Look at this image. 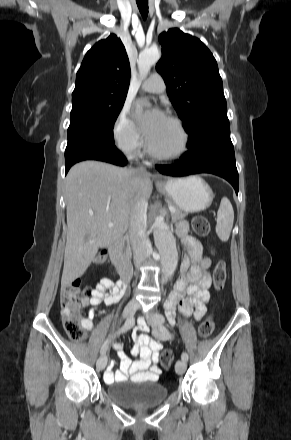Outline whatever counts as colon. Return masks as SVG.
<instances>
[{
	"label": "colon",
	"instance_id": "1",
	"mask_svg": "<svg viewBox=\"0 0 291 440\" xmlns=\"http://www.w3.org/2000/svg\"><path fill=\"white\" fill-rule=\"evenodd\" d=\"M192 228L198 235H205L210 230V224L205 216L198 215L193 218ZM226 279L225 263L219 261L214 272L216 287L221 289ZM94 290L77 281L61 288V317L62 325L73 341H80L84 338V329L80 324V317L85 308L88 307ZM214 329V322L211 318L203 321L199 327V335L203 338L209 336ZM173 361V352L169 349L163 351L161 363L163 367L169 368Z\"/></svg>",
	"mask_w": 291,
	"mask_h": 440
}]
</instances>
